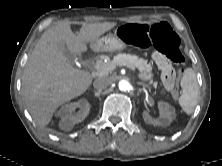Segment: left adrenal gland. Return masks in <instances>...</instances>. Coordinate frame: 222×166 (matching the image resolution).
<instances>
[{"label":"left adrenal gland","mask_w":222,"mask_h":166,"mask_svg":"<svg viewBox=\"0 0 222 166\" xmlns=\"http://www.w3.org/2000/svg\"><path fill=\"white\" fill-rule=\"evenodd\" d=\"M138 85H142V86H148L147 84H144L143 82H137Z\"/></svg>","instance_id":"a2214340"}]
</instances>
